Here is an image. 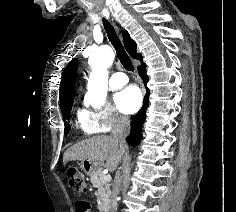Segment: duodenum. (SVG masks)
<instances>
[{"label":"duodenum","mask_w":236,"mask_h":212,"mask_svg":"<svg viewBox=\"0 0 236 212\" xmlns=\"http://www.w3.org/2000/svg\"><path fill=\"white\" fill-rule=\"evenodd\" d=\"M104 211H105V212H110V210H109V209H105Z\"/></svg>","instance_id":"1"}]
</instances>
